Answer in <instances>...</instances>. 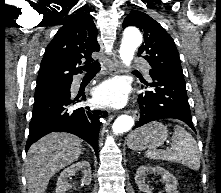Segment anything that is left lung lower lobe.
Returning <instances> with one entry per match:
<instances>
[{
	"label": "left lung lower lobe",
	"mask_w": 221,
	"mask_h": 193,
	"mask_svg": "<svg viewBox=\"0 0 221 193\" xmlns=\"http://www.w3.org/2000/svg\"><path fill=\"white\" fill-rule=\"evenodd\" d=\"M150 76L152 83H143L153 90L139 96L140 118L133 129L151 121L174 118L185 122L195 131L184 78L164 73H150Z\"/></svg>",
	"instance_id": "obj_1"
}]
</instances>
